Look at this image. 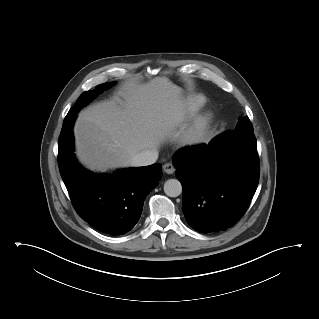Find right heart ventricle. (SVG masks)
<instances>
[{
    "label": "right heart ventricle",
    "instance_id": "1",
    "mask_svg": "<svg viewBox=\"0 0 319 319\" xmlns=\"http://www.w3.org/2000/svg\"><path fill=\"white\" fill-rule=\"evenodd\" d=\"M206 104V98L203 95H194L190 97L183 105L181 116L177 119V124L182 119L195 118Z\"/></svg>",
    "mask_w": 319,
    "mask_h": 319
}]
</instances>
